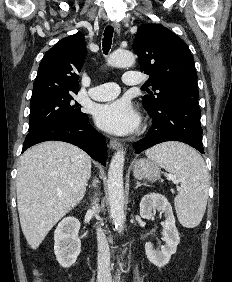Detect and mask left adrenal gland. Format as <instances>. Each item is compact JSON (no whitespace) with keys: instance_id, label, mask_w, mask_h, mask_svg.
<instances>
[{"instance_id":"obj_1","label":"left adrenal gland","mask_w":232,"mask_h":282,"mask_svg":"<svg viewBox=\"0 0 232 282\" xmlns=\"http://www.w3.org/2000/svg\"><path fill=\"white\" fill-rule=\"evenodd\" d=\"M142 185H146V184H141L140 182L137 181L136 189L139 188Z\"/></svg>"}]
</instances>
